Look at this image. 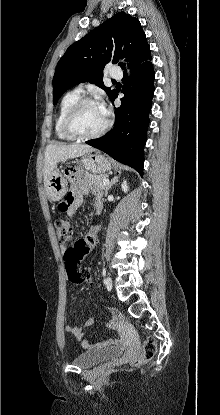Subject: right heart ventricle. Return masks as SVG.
Instances as JSON below:
<instances>
[{
	"label": "right heart ventricle",
	"mask_w": 220,
	"mask_h": 415,
	"mask_svg": "<svg viewBox=\"0 0 220 415\" xmlns=\"http://www.w3.org/2000/svg\"><path fill=\"white\" fill-rule=\"evenodd\" d=\"M82 98L81 91H78L77 89L72 90L68 93H66L59 105V110L55 119L54 129L55 134L59 139L62 140H73L69 136L65 134V132L62 129V122L63 118L66 114V112L78 101Z\"/></svg>",
	"instance_id": "right-heart-ventricle-1"
}]
</instances>
